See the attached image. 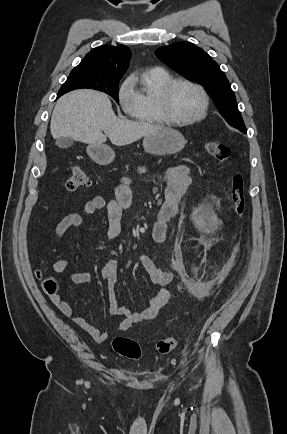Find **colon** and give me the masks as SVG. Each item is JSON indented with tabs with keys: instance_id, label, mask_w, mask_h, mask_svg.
Listing matches in <instances>:
<instances>
[{
	"instance_id": "1",
	"label": "colon",
	"mask_w": 287,
	"mask_h": 434,
	"mask_svg": "<svg viewBox=\"0 0 287 434\" xmlns=\"http://www.w3.org/2000/svg\"><path fill=\"white\" fill-rule=\"evenodd\" d=\"M205 148L206 151L218 161L227 162L231 159V150L218 141L206 142ZM90 183V174L83 168L76 167L66 182V189L68 191H76L88 187ZM230 200L234 215L242 216L245 210V186L243 176L239 172L234 173L231 178ZM38 276L42 279L44 291L50 296L57 295L58 284L56 280L51 277H44L41 273H39ZM177 344L178 337H167L156 343V350L160 354H167L171 352ZM113 348L117 354L129 359H139L142 354L139 343L128 337H116L113 340Z\"/></svg>"
}]
</instances>
